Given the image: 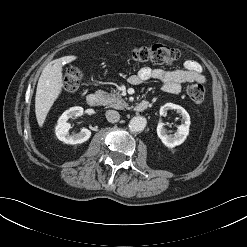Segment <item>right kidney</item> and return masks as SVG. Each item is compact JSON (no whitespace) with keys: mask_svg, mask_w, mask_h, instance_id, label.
Masks as SVG:
<instances>
[{"mask_svg":"<svg viewBox=\"0 0 247 247\" xmlns=\"http://www.w3.org/2000/svg\"><path fill=\"white\" fill-rule=\"evenodd\" d=\"M83 108L76 106L66 110L58 119L57 125L55 127V133L60 141L66 144H80L87 141L91 136V131L83 128L77 134H69L70 124L67 123L68 119L79 117L83 115Z\"/></svg>","mask_w":247,"mask_h":247,"instance_id":"right-kidney-1","label":"right kidney"}]
</instances>
